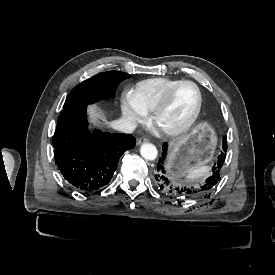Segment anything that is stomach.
Returning a JSON list of instances; mask_svg holds the SVG:
<instances>
[{
  "label": "stomach",
  "mask_w": 275,
  "mask_h": 275,
  "mask_svg": "<svg viewBox=\"0 0 275 275\" xmlns=\"http://www.w3.org/2000/svg\"><path fill=\"white\" fill-rule=\"evenodd\" d=\"M217 146L214 129L203 122L170 144L165 168L173 176H183L212 161Z\"/></svg>",
  "instance_id": "1"
}]
</instances>
